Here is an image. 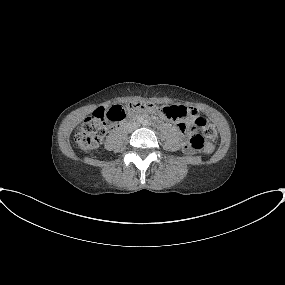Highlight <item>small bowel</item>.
Wrapping results in <instances>:
<instances>
[{"instance_id": "obj_1", "label": "small bowel", "mask_w": 285, "mask_h": 285, "mask_svg": "<svg viewBox=\"0 0 285 285\" xmlns=\"http://www.w3.org/2000/svg\"><path fill=\"white\" fill-rule=\"evenodd\" d=\"M199 118H200V115L198 111L192 107H189L187 121L191 123H195Z\"/></svg>"}]
</instances>
